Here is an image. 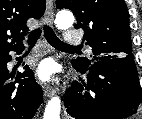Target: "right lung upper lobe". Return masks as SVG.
<instances>
[{
  "label": "right lung upper lobe",
  "instance_id": "obj_1",
  "mask_svg": "<svg viewBox=\"0 0 142 119\" xmlns=\"http://www.w3.org/2000/svg\"><path fill=\"white\" fill-rule=\"evenodd\" d=\"M45 0H0V53L23 47L29 18L39 19Z\"/></svg>",
  "mask_w": 142,
  "mask_h": 119
}]
</instances>
